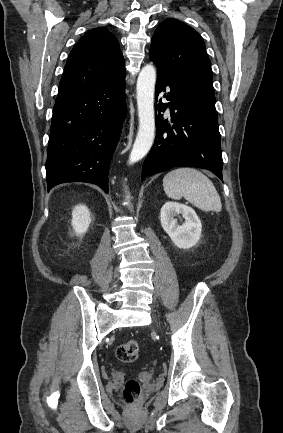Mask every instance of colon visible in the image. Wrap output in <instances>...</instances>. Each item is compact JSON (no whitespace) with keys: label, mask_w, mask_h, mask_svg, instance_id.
<instances>
[{"label":"colon","mask_w":283,"mask_h":433,"mask_svg":"<svg viewBox=\"0 0 283 433\" xmlns=\"http://www.w3.org/2000/svg\"><path fill=\"white\" fill-rule=\"evenodd\" d=\"M139 351V343L130 340L119 345L116 354L122 362L130 363L137 359ZM141 396L142 392L139 383L134 379L128 380L121 392L122 399L129 404H135L139 402Z\"/></svg>","instance_id":"5ec220e1"}]
</instances>
